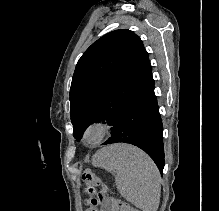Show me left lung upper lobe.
<instances>
[{
    "mask_svg": "<svg viewBox=\"0 0 219 211\" xmlns=\"http://www.w3.org/2000/svg\"><path fill=\"white\" fill-rule=\"evenodd\" d=\"M152 80V66L141 39L115 30L94 42L79 59L70 88L73 136L80 141L92 123L116 127L132 99Z\"/></svg>",
    "mask_w": 219,
    "mask_h": 211,
    "instance_id": "1",
    "label": "left lung upper lobe"
}]
</instances>
